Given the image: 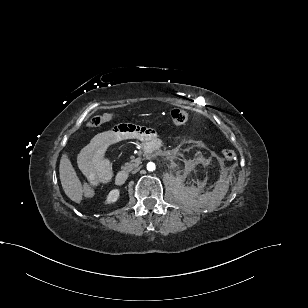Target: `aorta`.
<instances>
[{"instance_id": "aorta-1", "label": "aorta", "mask_w": 308, "mask_h": 308, "mask_svg": "<svg viewBox=\"0 0 308 308\" xmlns=\"http://www.w3.org/2000/svg\"><path fill=\"white\" fill-rule=\"evenodd\" d=\"M147 170L148 171H154L155 170V164L150 162L147 164Z\"/></svg>"}]
</instances>
